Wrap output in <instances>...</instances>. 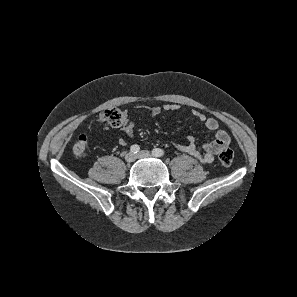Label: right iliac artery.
<instances>
[{
	"mask_svg": "<svg viewBox=\"0 0 297 297\" xmlns=\"http://www.w3.org/2000/svg\"><path fill=\"white\" fill-rule=\"evenodd\" d=\"M140 150V147L138 145H132L131 148H130V151L133 153V154H136L138 153Z\"/></svg>",
	"mask_w": 297,
	"mask_h": 297,
	"instance_id": "right-iliac-artery-1",
	"label": "right iliac artery"
}]
</instances>
